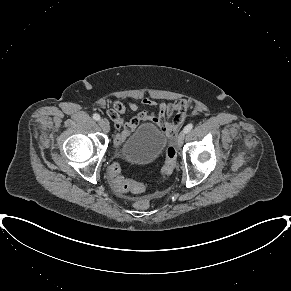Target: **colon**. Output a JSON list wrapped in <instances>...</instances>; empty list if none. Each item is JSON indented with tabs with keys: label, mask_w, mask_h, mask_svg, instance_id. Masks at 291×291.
I'll use <instances>...</instances> for the list:
<instances>
[{
	"label": "colon",
	"mask_w": 291,
	"mask_h": 291,
	"mask_svg": "<svg viewBox=\"0 0 291 291\" xmlns=\"http://www.w3.org/2000/svg\"><path fill=\"white\" fill-rule=\"evenodd\" d=\"M176 163V150L173 146H170L166 151L165 161L161 169L162 176L168 177L171 175L176 168ZM109 178L114 190L118 194H126L129 192L140 193L144 190V185L127 179L121 174V167L118 163H113L111 165ZM134 206L139 210H147L150 208V201L146 198H141L134 202Z\"/></svg>",
	"instance_id": "obj_1"
}]
</instances>
